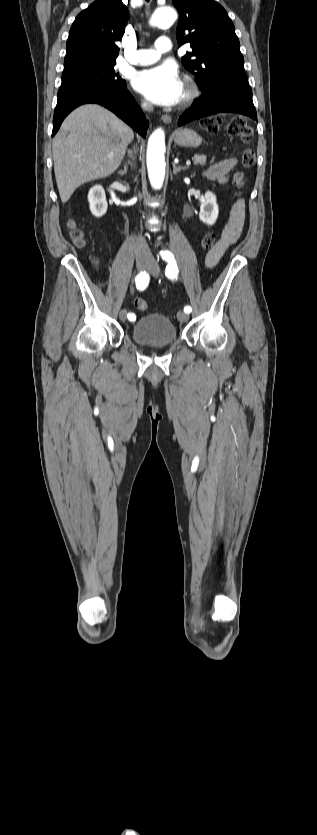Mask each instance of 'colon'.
Instances as JSON below:
<instances>
[{
	"label": "colon",
	"instance_id": "1",
	"mask_svg": "<svg viewBox=\"0 0 317 835\" xmlns=\"http://www.w3.org/2000/svg\"><path fill=\"white\" fill-rule=\"evenodd\" d=\"M223 119L220 117H208L202 120L201 125L205 131L208 133H217L223 126ZM227 132L242 142L248 144L253 136L252 129L248 126L247 122L243 118H234L232 119L226 126ZM256 160L255 151L251 146H246L244 148L242 154V164L245 167H251ZM246 182L245 174L242 171H237L234 173L231 186L236 192H240V190L244 187ZM70 236L74 243L82 247L85 245V234L83 231L74 223L71 222L69 226ZM215 241V236L212 233H209L204 236L201 242V248L203 250H209L213 247ZM135 306L139 310H146L148 308V303L141 298H137L134 302Z\"/></svg>",
	"mask_w": 317,
	"mask_h": 835
}]
</instances>
